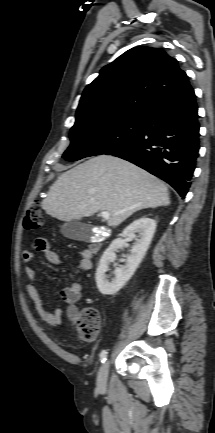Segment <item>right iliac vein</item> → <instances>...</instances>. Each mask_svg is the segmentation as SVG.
<instances>
[{
  "label": "right iliac vein",
  "mask_w": 215,
  "mask_h": 433,
  "mask_svg": "<svg viewBox=\"0 0 215 433\" xmlns=\"http://www.w3.org/2000/svg\"><path fill=\"white\" fill-rule=\"evenodd\" d=\"M108 372H109V361H106L100 368L98 377H97V384L99 387H104L107 382L108 378Z\"/></svg>",
  "instance_id": "63e3f726"
}]
</instances>
